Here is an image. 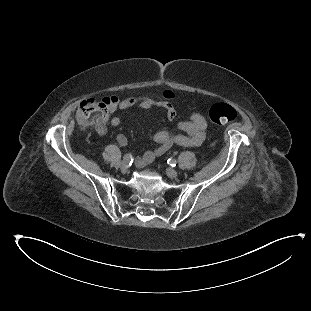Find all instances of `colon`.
I'll return each mask as SVG.
<instances>
[{"mask_svg": "<svg viewBox=\"0 0 311 311\" xmlns=\"http://www.w3.org/2000/svg\"><path fill=\"white\" fill-rule=\"evenodd\" d=\"M159 95H152L151 98L158 99ZM165 99H172L173 94L167 91L162 94ZM112 100L107 98L90 99L82 101L77 109V121L82 129L96 125L102 127L109 117V110L112 108ZM211 121L216 125L234 122L238 113L236 109L228 104L217 103L209 110Z\"/></svg>", "mask_w": 311, "mask_h": 311, "instance_id": "colon-1", "label": "colon"}]
</instances>
